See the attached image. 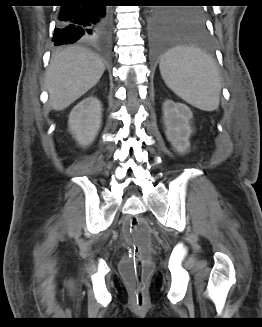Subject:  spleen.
Listing matches in <instances>:
<instances>
[{
  "instance_id": "3e777b00",
  "label": "spleen",
  "mask_w": 262,
  "mask_h": 327,
  "mask_svg": "<svg viewBox=\"0 0 262 327\" xmlns=\"http://www.w3.org/2000/svg\"><path fill=\"white\" fill-rule=\"evenodd\" d=\"M166 85L187 103L205 111L219 106L220 74L213 59L193 47H175L160 61Z\"/></svg>"
}]
</instances>
